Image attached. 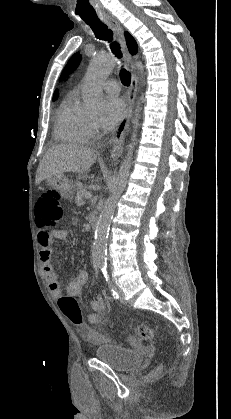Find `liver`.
<instances>
[{
	"mask_svg": "<svg viewBox=\"0 0 231 419\" xmlns=\"http://www.w3.org/2000/svg\"><path fill=\"white\" fill-rule=\"evenodd\" d=\"M96 159L97 153L91 148L75 144L53 146L38 166L35 183L39 185L43 180L64 172H86Z\"/></svg>",
	"mask_w": 231,
	"mask_h": 419,
	"instance_id": "6515ba94",
	"label": "liver"
}]
</instances>
